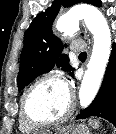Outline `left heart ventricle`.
<instances>
[{
	"label": "left heart ventricle",
	"mask_w": 116,
	"mask_h": 134,
	"mask_svg": "<svg viewBox=\"0 0 116 134\" xmlns=\"http://www.w3.org/2000/svg\"><path fill=\"white\" fill-rule=\"evenodd\" d=\"M69 105L67 88L56 81L38 85L29 95L27 109L36 119L57 118L65 113Z\"/></svg>",
	"instance_id": "1"
}]
</instances>
